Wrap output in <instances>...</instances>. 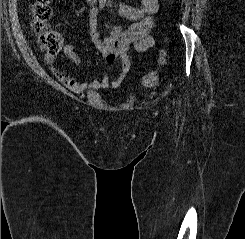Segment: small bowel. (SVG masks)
Masks as SVG:
<instances>
[{
  "label": "small bowel",
  "mask_w": 245,
  "mask_h": 239,
  "mask_svg": "<svg viewBox=\"0 0 245 239\" xmlns=\"http://www.w3.org/2000/svg\"><path fill=\"white\" fill-rule=\"evenodd\" d=\"M157 10V0H141L139 6L120 3L117 6L118 14L127 20L133 21V24L125 30L117 26L105 25L106 35L104 37L101 36L97 24L96 10L93 9L90 12V37L95 49L109 65L119 62V73L114 79H110L108 75L101 73L89 83L80 82L74 77L67 75L59 66L54 65L56 54L46 55L45 61L50 66L55 77L74 93H82L85 90L117 89L121 86L130 70V49L134 48L138 52H145L152 47V15ZM62 50L73 64L77 66L82 64L72 44L64 42Z\"/></svg>",
  "instance_id": "small-bowel-1"
}]
</instances>
